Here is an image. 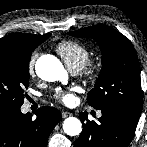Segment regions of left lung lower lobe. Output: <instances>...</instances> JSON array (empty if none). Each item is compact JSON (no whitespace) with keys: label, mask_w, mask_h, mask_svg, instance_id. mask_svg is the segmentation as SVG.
I'll list each match as a JSON object with an SVG mask.
<instances>
[{"label":"left lung lower lobe","mask_w":147,"mask_h":147,"mask_svg":"<svg viewBox=\"0 0 147 147\" xmlns=\"http://www.w3.org/2000/svg\"><path fill=\"white\" fill-rule=\"evenodd\" d=\"M98 122L89 121L87 113H79L83 123L80 137L74 147H128L139 118L116 108H101Z\"/></svg>","instance_id":"0a47b994"}]
</instances>
